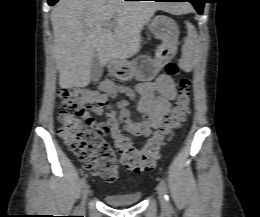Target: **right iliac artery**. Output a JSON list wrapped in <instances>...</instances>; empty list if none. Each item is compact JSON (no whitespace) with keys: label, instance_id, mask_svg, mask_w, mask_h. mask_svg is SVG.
<instances>
[{"label":"right iliac artery","instance_id":"82829eb1","mask_svg":"<svg viewBox=\"0 0 260 217\" xmlns=\"http://www.w3.org/2000/svg\"><path fill=\"white\" fill-rule=\"evenodd\" d=\"M85 183H86V179H85V177H82L81 180H80V186H81V188L84 187Z\"/></svg>","mask_w":260,"mask_h":217}]
</instances>
